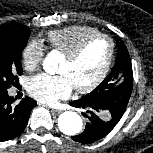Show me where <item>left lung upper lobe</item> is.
I'll use <instances>...</instances> for the list:
<instances>
[{
    "label": "left lung upper lobe",
    "instance_id": "left-lung-upper-lobe-1",
    "mask_svg": "<svg viewBox=\"0 0 153 153\" xmlns=\"http://www.w3.org/2000/svg\"><path fill=\"white\" fill-rule=\"evenodd\" d=\"M116 63L110 74L83 101L104 106L106 117L119 122L127 107L133 85L132 65L127 48L117 43Z\"/></svg>",
    "mask_w": 153,
    "mask_h": 153
}]
</instances>
